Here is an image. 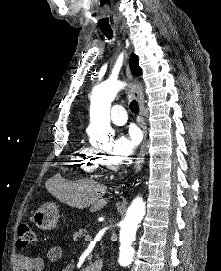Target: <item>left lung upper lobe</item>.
Wrapping results in <instances>:
<instances>
[{
    "label": "left lung upper lobe",
    "instance_id": "5c2ea615",
    "mask_svg": "<svg viewBox=\"0 0 221 271\" xmlns=\"http://www.w3.org/2000/svg\"><path fill=\"white\" fill-rule=\"evenodd\" d=\"M130 66H131L132 73L135 76L141 74L142 71L138 66V59L134 54H131V56H130Z\"/></svg>",
    "mask_w": 221,
    "mask_h": 271
}]
</instances>
